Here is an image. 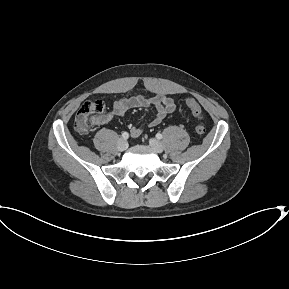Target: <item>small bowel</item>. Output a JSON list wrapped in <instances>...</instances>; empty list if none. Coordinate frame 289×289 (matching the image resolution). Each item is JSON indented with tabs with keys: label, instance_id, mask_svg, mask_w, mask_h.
I'll return each mask as SVG.
<instances>
[{
	"label": "small bowel",
	"instance_id": "c3829d8e",
	"mask_svg": "<svg viewBox=\"0 0 289 289\" xmlns=\"http://www.w3.org/2000/svg\"><path fill=\"white\" fill-rule=\"evenodd\" d=\"M133 108H153L154 118L150 121L149 126L154 127L168 115L175 111L176 105L172 98L166 95H157L152 98H147L142 94H136L131 97H125L116 100L111 110L104 114L100 119V123L110 121L114 116H123L127 111ZM133 137H138L142 133V128L133 126L130 129Z\"/></svg>",
	"mask_w": 289,
	"mask_h": 289
}]
</instances>
